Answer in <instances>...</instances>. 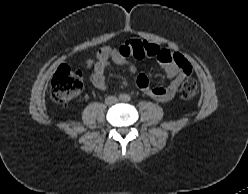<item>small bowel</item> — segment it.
<instances>
[{"mask_svg":"<svg viewBox=\"0 0 248 194\" xmlns=\"http://www.w3.org/2000/svg\"><path fill=\"white\" fill-rule=\"evenodd\" d=\"M152 46L153 53L149 56L157 60L171 81L165 87L153 86L147 75L140 74L137 77V85L145 94L153 99L167 102L175 96L183 79L188 74L187 68L190 65L179 54L161 49L155 44H152ZM129 56H134L133 41L126 42L120 49L112 47L100 48L96 53V61L87 60L85 63L87 69L93 68V74L90 77L91 84L97 89L104 90L106 88L105 72L111 68L112 63L124 66L130 72H135L134 65L128 60Z\"/></svg>","mask_w":248,"mask_h":194,"instance_id":"1","label":"small bowel"}]
</instances>
